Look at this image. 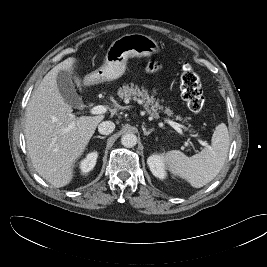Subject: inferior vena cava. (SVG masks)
<instances>
[{
  "label": "inferior vena cava",
  "mask_w": 267,
  "mask_h": 267,
  "mask_svg": "<svg viewBox=\"0 0 267 267\" xmlns=\"http://www.w3.org/2000/svg\"><path fill=\"white\" fill-rule=\"evenodd\" d=\"M115 129V124L112 121H104L98 125V131L100 134L109 135Z\"/></svg>",
  "instance_id": "obj_1"
}]
</instances>
